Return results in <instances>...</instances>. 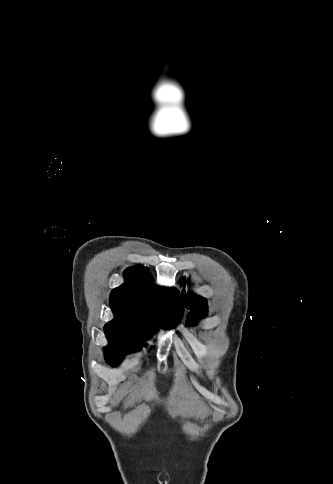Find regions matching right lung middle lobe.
Masks as SVG:
<instances>
[{
    "mask_svg": "<svg viewBox=\"0 0 333 484\" xmlns=\"http://www.w3.org/2000/svg\"><path fill=\"white\" fill-rule=\"evenodd\" d=\"M104 330L110 343L105 348V357L112 366H117L124 354L140 350L149 336L140 327L127 323L109 322Z\"/></svg>",
    "mask_w": 333,
    "mask_h": 484,
    "instance_id": "dd1d6c3e",
    "label": "right lung middle lobe"
}]
</instances>
